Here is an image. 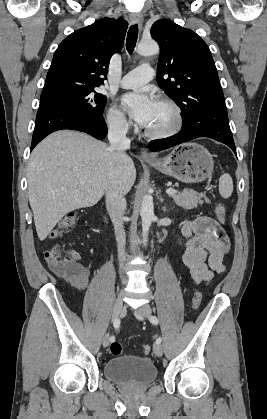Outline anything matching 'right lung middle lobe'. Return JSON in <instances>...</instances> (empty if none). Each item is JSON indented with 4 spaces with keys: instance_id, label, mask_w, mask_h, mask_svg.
<instances>
[{
    "instance_id": "dd1d6c3e",
    "label": "right lung middle lobe",
    "mask_w": 267,
    "mask_h": 419,
    "mask_svg": "<svg viewBox=\"0 0 267 419\" xmlns=\"http://www.w3.org/2000/svg\"><path fill=\"white\" fill-rule=\"evenodd\" d=\"M49 100L64 105L91 119L103 118L106 97L94 88L68 87L41 94L40 101Z\"/></svg>"
}]
</instances>
